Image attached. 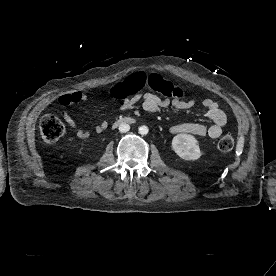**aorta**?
Wrapping results in <instances>:
<instances>
[{
    "label": "aorta",
    "instance_id": "762f6f07",
    "mask_svg": "<svg viewBox=\"0 0 276 276\" xmlns=\"http://www.w3.org/2000/svg\"><path fill=\"white\" fill-rule=\"evenodd\" d=\"M148 132H149V129L147 126L143 125V126L139 127V133L141 135H146V134H148Z\"/></svg>",
    "mask_w": 276,
    "mask_h": 276
}]
</instances>
